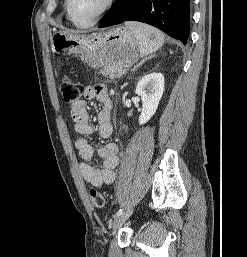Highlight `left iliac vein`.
<instances>
[{"label": "left iliac vein", "instance_id": "obj_1", "mask_svg": "<svg viewBox=\"0 0 247 257\" xmlns=\"http://www.w3.org/2000/svg\"><path fill=\"white\" fill-rule=\"evenodd\" d=\"M132 212H133V209L117 216L113 221V225H112L113 230L119 229L126 222V220L131 216Z\"/></svg>", "mask_w": 247, "mask_h": 257}]
</instances>
